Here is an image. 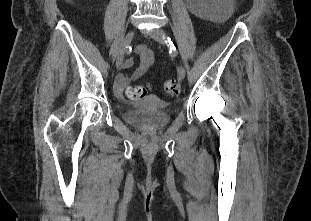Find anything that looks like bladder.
<instances>
[{
  "mask_svg": "<svg viewBox=\"0 0 311 221\" xmlns=\"http://www.w3.org/2000/svg\"><path fill=\"white\" fill-rule=\"evenodd\" d=\"M130 113L125 118L127 123L136 127L140 132L152 134L164 130L169 122L168 109L170 104L163 99L148 95L131 105Z\"/></svg>",
  "mask_w": 311,
  "mask_h": 221,
  "instance_id": "31cf9c89",
  "label": "bladder"
}]
</instances>
